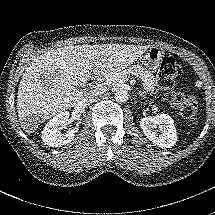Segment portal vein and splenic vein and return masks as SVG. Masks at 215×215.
<instances>
[{"instance_id": "obj_1", "label": "portal vein and splenic vein", "mask_w": 215, "mask_h": 215, "mask_svg": "<svg viewBox=\"0 0 215 215\" xmlns=\"http://www.w3.org/2000/svg\"><path fill=\"white\" fill-rule=\"evenodd\" d=\"M117 78L115 77H110L106 80V82H101L99 85H97L96 87H102L104 85H108V84H114V83H117V82H120L122 81L123 79V75H116Z\"/></svg>"}]
</instances>
